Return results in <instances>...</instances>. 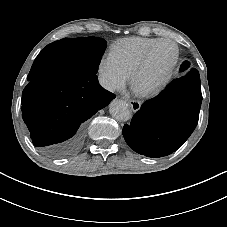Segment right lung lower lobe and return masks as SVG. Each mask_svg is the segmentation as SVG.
<instances>
[{"label": "right lung lower lobe", "mask_w": 227, "mask_h": 227, "mask_svg": "<svg viewBox=\"0 0 227 227\" xmlns=\"http://www.w3.org/2000/svg\"><path fill=\"white\" fill-rule=\"evenodd\" d=\"M72 44L64 38L47 45L32 65L45 77L29 81L22 93V116L32 142L49 158L76 153L85 122L115 98L97 76L75 75L61 66Z\"/></svg>", "instance_id": "obj_1"}]
</instances>
